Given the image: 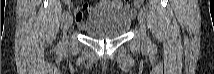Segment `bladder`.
I'll return each mask as SVG.
<instances>
[{
	"label": "bladder",
	"instance_id": "1",
	"mask_svg": "<svg viewBox=\"0 0 214 74\" xmlns=\"http://www.w3.org/2000/svg\"><path fill=\"white\" fill-rule=\"evenodd\" d=\"M131 16L122 7L99 10L83 26V31L94 38H114L125 34L131 26Z\"/></svg>",
	"mask_w": 214,
	"mask_h": 74
}]
</instances>
